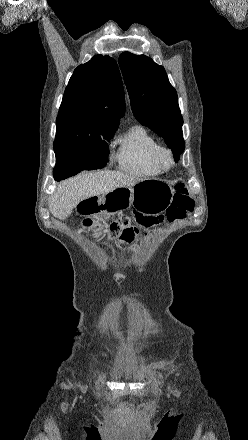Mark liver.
I'll return each mask as SVG.
<instances>
[{"mask_svg":"<svg viewBox=\"0 0 248 440\" xmlns=\"http://www.w3.org/2000/svg\"><path fill=\"white\" fill-rule=\"evenodd\" d=\"M142 181L117 171H97L79 174L63 182L49 199L53 215L65 219L77 205L88 198L109 193L120 187H131Z\"/></svg>","mask_w":248,"mask_h":440,"instance_id":"liver-1","label":"liver"}]
</instances>
